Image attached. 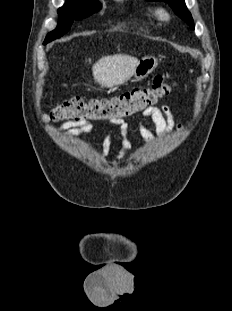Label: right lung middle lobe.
I'll return each instance as SVG.
<instances>
[{
    "label": "right lung middle lobe",
    "instance_id": "1",
    "mask_svg": "<svg viewBox=\"0 0 232 311\" xmlns=\"http://www.w3.org/2000/svg\"><path fill=\"white\" fill-rule=\"evenodd\" d=\"M101 8L97 1L74 0L66 1L64 6L58 9L59 21L57 28L51 31L43 44H47L63 36L69 31L74 20H79L90 16Z\"/></svg>",
    "mask_w": 232,
    "mask_h": 311
}]
</instances>
